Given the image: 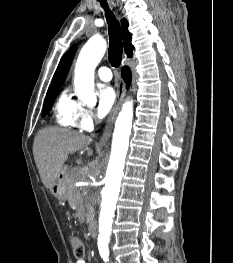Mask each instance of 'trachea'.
<instances>
[{"label":"trachea","instance_id":"trachea-1","mask_svg":"<svg viewBox=\"0 0 233 263\" xmlns=\"http://www.w3.org/2000/svg\"><path fill=\"white\" fill-rule=\"evenodd\" d=\"M100 2L105 10L106 20L109 25V62L113 67H119L123 52L121 28L112 11L108 9L107 2L105 0H100Z\"/></svg>","mask_w":233,"mask_h":263}]
</instances>
